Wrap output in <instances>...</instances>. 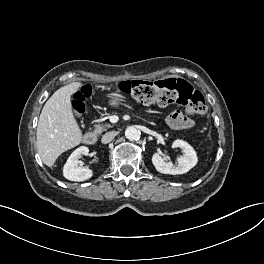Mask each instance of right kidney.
<instances>
[{"mask_svg":"<svg viewBox=\"0 0 264 264\" xmlns=\"http://www.w3.org/2000/svg\"><path fill=\"white\" fill-rule=\"evenodd\" d=\"M88 153L89 149L86 146L78 147L72 152L63 167V175L66 179L71 181H84L93 176L91 169L79 165V159L83 155H88Z\"/></svg>","mask_w":264,"mask_h":264,"instance_id":"right-kidney-1","label":"right kidney"}]
</instances>
